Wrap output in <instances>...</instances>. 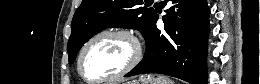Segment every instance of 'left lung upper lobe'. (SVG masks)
<instances>
[{
	"instance_id": "obj_1",
	"label": "left lung upper lobe",
	"mask_w": 260,
	"mask_h": 84,
	"mask_svg": "<svg viewBox=\"0 0 260 84\" xmlns=\"http://www.w3.org/2000/svg\"><path fill=\"white\" fill-rule=\"evenodd\" d=\"M142 0H83L72 19L68 42L69 62L93 35L108 27L134 28L148 36L156 15L154 9L139 7Z\"/></svg>"
}]
</instances>
